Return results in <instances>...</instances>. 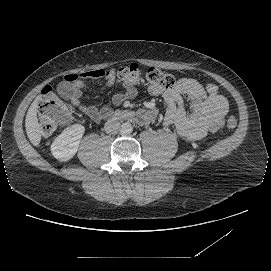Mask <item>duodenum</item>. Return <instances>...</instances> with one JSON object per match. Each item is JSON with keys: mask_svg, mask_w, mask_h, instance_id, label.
Listing matches in <instances>:
<instances>
[{"mask_svg": "<svg viewBox=\"0 0 271 271\" xmlns=\"http://www.w3.org/2000/svg\"><path fill=\"white\" fill-rule=\"evenodd\" d=\"M114 120H141V117L140 115H137L134 112L118 111L109 118L110 122Z\"/></svg>", "mask_w": 271, "mask_h": 271, "instance_id": "duodenum-1", "label": "duodenum"}]
</instances>
